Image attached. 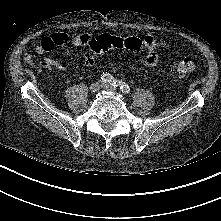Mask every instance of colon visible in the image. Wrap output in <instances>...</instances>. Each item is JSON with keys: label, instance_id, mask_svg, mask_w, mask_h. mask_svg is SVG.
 <instances>
[{"label": "colon", "instance_id": "5ec220e1", "mask_svg": "<svg viewBox=\"0 0 221 221\" xmlns=\"http://www.w3.org/2000/svg\"><path fill=\"white\" fill-rule=\"evenodd\" d=\"M144 46L143 41L138 37L121 38L109 34L97 36L89 43L90 52L92 54H103L113 49H126L132 52L140 51ZM25 59L29 61L30 55H26ZM195 65L191 57H183L173 63L168 73L175 78H183L189 76L194 71Z\"/></svg>", "mask_w": 221, "mask_h": 221}]
</instances>
